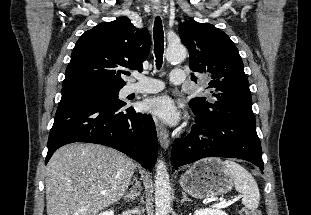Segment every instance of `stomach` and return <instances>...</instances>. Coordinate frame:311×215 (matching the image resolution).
<instances>
[{"mask_svg":"<svg viewBox=\"0 0 311 215\" xmlns=\"http://www.w3.org/2000/svg\"><path fill=\"white\" fill-rule=\"evenodd\" d=\"M182 189L197 199L216 198L229 192L233 178L218 158H206L189 167L180 177Z\"/></svg>","mask_w":311,"mask_h":215,"instance_id":"stomach-1","label":"stomach"}]
</instances>
